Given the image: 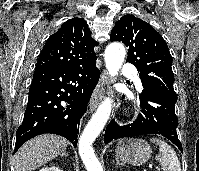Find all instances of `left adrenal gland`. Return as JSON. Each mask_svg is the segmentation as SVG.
Returning <instances> with one entry per match:
<instances>
[{
	"instance_id": "left-adrenal-gland-1",
	"label": "left adrenal gland",
	"mask_w": 199,
	"mask_h": 171,
	"mask_svg": "<svg viewBox=\"0 0 199 171\" xmlns=\"http://www.w3.org/2000/svg\"><path fill=\"white\" fill-rule=\"evenodd\" d=\"M118 165H123V164H121V163L119 162V160L116 159V166H118Z\"/></svg>"
}]
</instances>
